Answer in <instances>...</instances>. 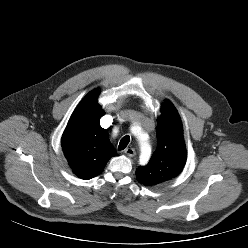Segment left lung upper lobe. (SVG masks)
<instances>
[{"mask_svg":"<svg viewBox=\"0 0 248 248\" xmlns=\"http://www.w3.org/2000/svg\"><path fill=\"white\" fill-rule=\"evenodd\" d=\"M157 123V149L149 163L136 170L138 181L146 186L161 184L177 177L186 162L182 122L170 101L165 100L162 104Z\"/></svg>","mask_w":248,"mask_h":248,"instance_id":"obj_1","label":"left lung upper lobe"}]
</instances>
